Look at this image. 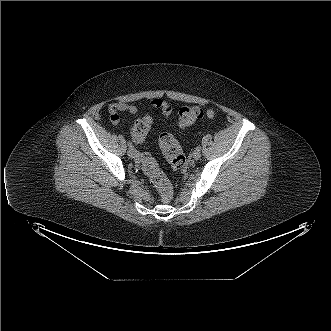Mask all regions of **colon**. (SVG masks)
I'll return each mask as SVG.
<instances>
[{
  "mask_svg": "<svg viewBox=\"0 0 331 331\" xmlns=\"http://www.w3.org/2000/svg\"><path fill=\"white\" fill-rule=\"evenodd\" d=\"M213 115L212 110L204 111L198 106H185L179 111L178 123L181 127L186 128L203 117L211 118ZM151 124L152 118L149 115L138 119L134 123L132 135L135 142H142L146 138ZM159 146L173 169H185L187 166L186 156L178 140L172 134L162 133L159 136ZM141 167L143 172L148 176L151 184L157 189L161 200L165 203L169 202L173 197V189L155 159L148 154H143L141 157Z\"/></svg>",
  "mask_w": 331,
  "mask_h": 331,
  "instance_id": "5ec220e1",
  "label": "colon"
}]
</instances>
